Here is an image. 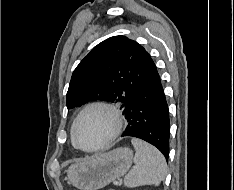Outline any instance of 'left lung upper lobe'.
<instances>
[{
  "mask_svg": "<svg viewBox=\"0 0 234 190\" xmlns=\"http://www.w3.org/2000/svg\"><path fill=\"white\" fill-rule=\"evenodd\" d=\"M147 77L145 49L125 36H113L95 46L72 74L66 96L68 109L90 100L128 103Z\"/></svg>",
  "mask_w": 234,
  "mask_h": 190,
  "instance_id": "5c2ea615",
  "label": "left lung upper lobe"
}]
</instances>
